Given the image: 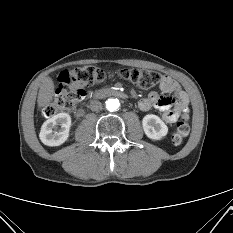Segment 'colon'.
Wrapping results in <instances>:
<instances>
[{"label":"colon","mask_w":233,"mask_h":233,"mask_svg":"<svg viewBox=\"0 0 233 233\" xmlns=\"http://www.w3.org/2000/svg\"><path fill=\"white\" fill-rule=\"evenodd\" d=\"M114 76L143 89L154 87L161 82L160 73L143 69L124 68L113 73L89 65L64 70L59 75L60 84L54 94L53 100L42 110L43 117L50 118L59 112L74 109L83 98L85 88L100 85ZM189 130L187 119H182L172 134V142L175 145L180 144L188 135Z\"/></svg>","instance_id":"colon-1"}]
</instances>
